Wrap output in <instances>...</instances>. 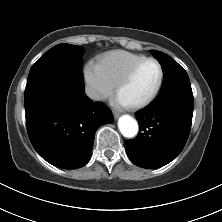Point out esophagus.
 Here are the masks:
<instances>
[{"label":"esophagus","instance_id":"34e87169","mask_svg":"<svg viewBox=\"0 0 222 222\" xmlns=\"http://www.w3.org/2000/svg\"><path fill=\"white\" fill-rule=\"evenodd\" d=\"M113 115H114L115 119H117L119 117V113H117V112H114Z\"/></svg>","mask_w":222,"mask_h":222}]
</instances>
